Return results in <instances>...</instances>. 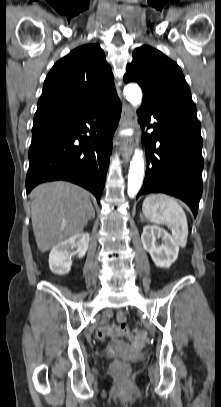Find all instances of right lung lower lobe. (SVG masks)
<instances>
[{
  "label": "right lung lower lobe",
  "mask_w": 221,
  "mask_h": 407,
  "mask_svg": "<svg viewBox=\"0 0 221 407\" xmlns=\"http://www.w3.org/2000/svg\"><path fill=\"white\" fill-rule=\"evenodd\" d=\"M120 113L117 97L81 115L34 126L27 193L40 183L66 180L91 191L99 202Z\"/></svg>",
  "instance_id": "98d812e1"
}]
</instances>
